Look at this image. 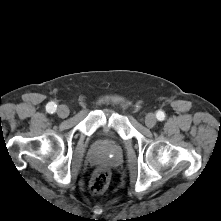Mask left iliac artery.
I'll use <instances>...</instances> for the list:
<instances>
[{"instance_id":"obj_1","label":"left iliac artery","mask_w":221,"mask_h":221,"mask_svg":"<svg viewBox=\"0 0 221 221\" xmlns=\"http://www.w3.org/2000/svg\"><path fill=\"white\" fill-rule=\"evenodd\" d=\"M156 117L159 121H163L165 119V113L163 111L159 110L156 113Z\"/></svg>"}]
</instances>
